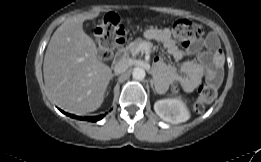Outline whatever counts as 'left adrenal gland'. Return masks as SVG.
Masks as SVG:
<instances>
[{
  "label": "left adrenal gland",
  "instance_id": "1",
  "mask_svg": "<svg viewBox=\"0 0 261 162\" xmlns=\"http://www.w3.org/2000/svg\"><path fill=\"white\" fill-rule=\"evenodd\" d=\"M150 82H151V87H152V89L154 90L153 81L151 80Z\"/></svg>",
  "mask_w": 261,
  "mask_h": 162
}]
</instances>
